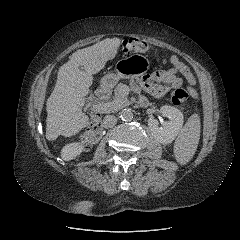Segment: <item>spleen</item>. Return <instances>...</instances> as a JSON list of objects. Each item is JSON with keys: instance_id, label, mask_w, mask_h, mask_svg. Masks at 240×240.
I'll use <instances>...</instances> for the list:
<instances>
[{"instance_id": "spleen-1", "label": "spleen", "mask_w": 240, "mask_h": 240, "mask_svg": "<svg viewBox=\"0 0 240 240\" xmlns=\"http://www.w3.org/2000/svg\"><path fill=\"white\" fill-rule=\"evenodd\" d=\"M200 117L192 114L174 143V155L181 165L187 164L195 154L200 139Z\"/></svg>"}]
</instances>
